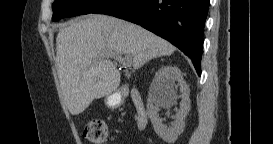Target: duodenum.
<instances>
[{
	"instance_id": "obj_1",
	"label": "duodenum",
	"mask_w": 273,
	"mask_h": 144,
	"mask_svg": "<svg viewBox=\"0 0 273 144\" xmlns=\"http://www.w3.org/2000/svg\"><path fill=\"white\" fill-rule=\"evenodd\" d=\"M127 93L130 95L135 106L137 127L139 129L146 128L148 124V116L139 90L136 88H130L127 90Z\"/></svg>"
}]
</instances>
